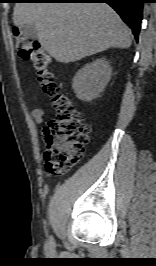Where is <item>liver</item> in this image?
I'll return each mask as SVG.
<instances>
[{
	"mask_svg": "<svg viewBox=\"0 0 156 266\" xmlns=\"http://www.w3.org/2000/svg\"><path fill=\"white\" fill-rule=\"evenodd\" d=\"M13 22L34 25L41 46L62 63L131 45L129 28L105 3H16Z\"/></svg>",
	"mask_w": 156,
	"mask_h": 266,
	"instance_id": "liver-1",
	"label": "liver"
}]
</instances>
